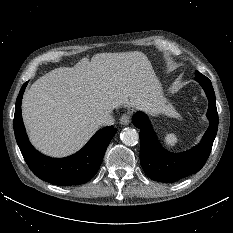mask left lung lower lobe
<instances>
[{
    "mask_svg": "<svg viewBox=\"0 0 233 233\" xmlns=\"http://www.w3.org/2000/svg\"><path fill=\"white\" fill-rule=\"evenodd\" d=\"M209 100L207 117L209 128L199 145L184 153L166 151L158 142L147 116L142 112L133 115L132 121L140 131V161L145 174L154 181L172 183L198 172L206 163L218 128V113L211 81L198 79Z\"/></svg>",
    "mask_w": 233,
    "mask_h": 233,
    "instance_id": "0a47b994",
    "label": "left lung lower lobe"
}]
</instances>
